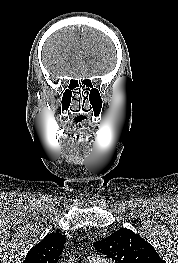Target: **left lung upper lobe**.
I'll list each match as a JSON object with an SVG mask.
<instances>
[{
    "instance_id": "obj_1",
    "label": "left lung upper lobe",
    "mask_w": 178,
    "mask_h": 263,
    "mask_svg": "<svg viewBox=\"0 0 178 263\" xmlns=\"http://www.w3.org/2000/svg\"><path fill=\"white\" fill-rule=\"evenodd\" d=\"M95 249L118 263H166L154 247L129 229H120L101 241Z\"/></svg>"
}]
</instances>
